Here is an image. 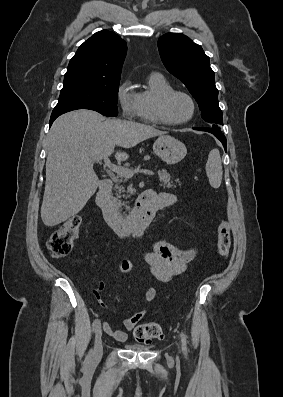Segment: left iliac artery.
<instances>
[{
	"label": "left iliac artery",
	"instance_id": "obj_1",
	"mask_svg": "<svg viewBox=\"0 0 283 397\" xmlns=\"http://www.w3.org/2000/svg\"><path fill=\"white\" fill-rule=\"evenodd\" d=\"M181 341H182V350L184 354H187V340L184 332H181Z\"/></svg>",
	"mask_w": 283,
	"mask_h": 397
}]
</instances>
